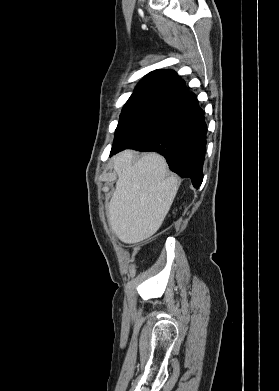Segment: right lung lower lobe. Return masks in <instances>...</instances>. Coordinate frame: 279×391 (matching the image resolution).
<instances>
[{
  "instance_id": "98d812e1",
  "label": "right lung lower lobe",
  "mask_w": 279,
  "mask_h": 391,
  "mask_svg": "<svg viewBox=\"0 0 279 391\" xmlns=\"http://www.w3.org/2000/svg\"><path fill=\"white\" fill-rule=\"evenodd\" d=\"M206 133L204 112L196 95L187 93L163 107L145 130L110 155L127 148L159 152L173 172L190 178L198 187L203 180Z\"/></svg>"
}]
</instances>
